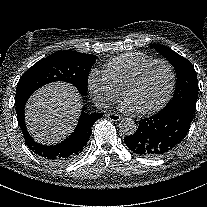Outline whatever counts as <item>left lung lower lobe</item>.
<instances>
[{
    "label": "left lung lower lobe",
    "mask_w": 207,
    "mask_h": 207,
    "mask_svg": "<svg viewBox=\"0 0 207 207\" xmlns=\"http://www.w3.org/2000/svg\"><path fill=\"white\" fill-rule=\"evenodd\" d=\"M194 113L183 107L162 109L139 121V127L124 142L133 152L148 158L168 154L182 142L189 131Z\"/></svg>",
    "instance_id": "obj_1"
}]
</instances>
